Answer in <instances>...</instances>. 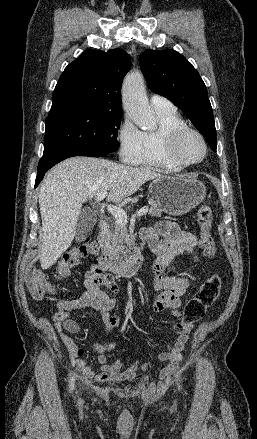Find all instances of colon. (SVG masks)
Segmentation results:
<instances>
[{"mask_svg": "<svg viewBox=\"0 0 257 439\" xmlns=\"http://www.w3.org/2000/svg\"><path fill=\"white\" fill-rule=\"evenodd\" d=\"M197 222L200 229V244L204 254L213 258L216 252L215 243L211 235L213 212L208 204H202L197 210ZM98 252L97 245L85 240L82 244L66 252L59 264L58 276H69L70 270L77 266L82 258L91 257ZM27 286L31 294L37 299H44L54 293V287L46 276L38 269L32 268L26 276ZM221 289V278L217 273L209 276L190 298L183 310L180 320L175 324V332L182 334L187 327L201 320L207 309L215 302Z\"/></svg>", "mask_w": 257, "mask_h": 439, "instance_id": "obj_1", "label": "colon"}]
</instances>
